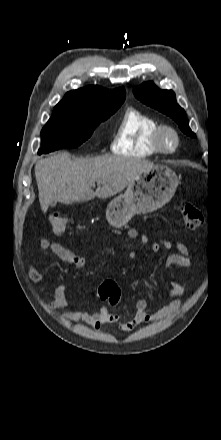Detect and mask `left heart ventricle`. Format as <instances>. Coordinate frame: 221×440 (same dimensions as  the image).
Segmentation results:
<instances>
[{
	"label": "left heart ventricle",
	"mask_w": 221,
	"mask_h": 440,
	"mask_svg": "<svg viewBox=\"0 0 221 440\" xmlns=\"http://www.w3.org/2000/svg\"><path fill=\"white\" fill-rule=\"evenodd\" d=\"M167 142L171 143L172 142V138L170 136L167 137Z\"/></svg>",
	"instance_id": "1"
}]
</instances>
